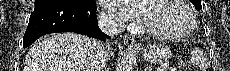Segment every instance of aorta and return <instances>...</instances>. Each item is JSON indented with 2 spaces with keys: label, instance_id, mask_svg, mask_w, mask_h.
<instances>
[{
  "label": "aorta",
  "instance_id": "aorta-1",
  "mask_svg": "<svg viewBox=\"0 0 230 71\" xmlns=\"http://www.w3.org/2000/svg\"><path fill=\"white\" fill-rule=\"evenodd\" d=\"M137 66L136 56L132 52L123 55L117 71H134Z\"/></svg>",
  "mask_w": 230,
  "mask_h": 71
}]
</instances>
